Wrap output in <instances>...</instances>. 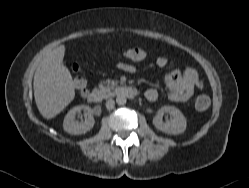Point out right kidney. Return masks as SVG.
I'll return each mask as SVG.
<instances>
[{
    "label": "right kidney",
    "mask_w": 249,
    "mask_h": 188,
    "mask_svg": "<svg viewBox=\"0 0 249 188\" xmlns=\"http://www.w3.org/2000/svg\"><path fill=\"white\" fill-rule=\"evenodd\" d=\"M84 111L85 120L84 121H76V114H80ZM95 124V120L92 116V110L89 106L79 105L72 108L64 118L63 128L64 130L72 135H80L90 131Z\"/></svg>",
    "instance_id": "right-kidney-1"
}]
</instances>
